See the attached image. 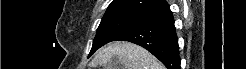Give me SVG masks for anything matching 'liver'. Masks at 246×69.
<instances>
[{"label":"liver","mask_w":246,"mask_h":69,"mask_svg":"<svg viewBox=\"0 0 246 69\" xmlns=\"http://www.w3.org/2000/svg\"><path fill=\"white\" fill-rule=\"evenodd\" d=\"M117 57L118 69H164V66L146 49L124 41H117L101 49L95 61L104 67Z\"/></svg>","instance_id":"6515ba94"}]
</instances>
